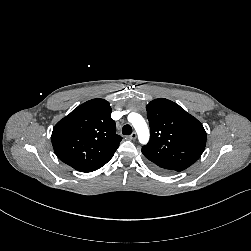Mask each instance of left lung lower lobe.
I'll use <instances>...</instances> for the list:
<instances>
[{
  "mask_svg": "<svg viewBox=\"0 0 251 251\" xmlns=\"http://www.w3.org/2000/svg\"><path fill=\"white\" fill-rule=\"evenodd\" d=\"M155 169L159 170V171H163V172H167L168 170H163V169H159V168H156Z\"/></svg>",
  "mask_w": 251,
  "mask_h": 251,
  "instance_id": "0a47b994",
  "label": "left lung lower lobe"
}]
</instances>
